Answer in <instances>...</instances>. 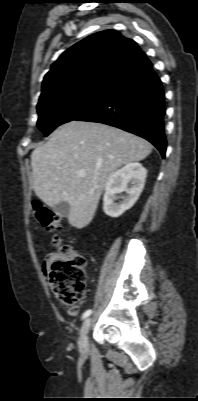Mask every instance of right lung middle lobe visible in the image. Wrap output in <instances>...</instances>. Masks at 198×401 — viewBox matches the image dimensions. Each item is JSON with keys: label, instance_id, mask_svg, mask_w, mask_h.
<instances>
[{"label": "right lung middle lobe", "instance_id": "right-lung-middle-lobe-1", "mask_svg": "<svg viewBox=\"0 0 198 401\" xmlns=\"http://www.w3.org/2000/svg\"><path fill=\"white\" fill-rule=\"evenodd\" d=\"M107 85H84L39 99L38 128L49 135L56 127L72 121L92 108L105 94Z\"/></svg>", "mask_w": 198, "mask_h": 401}]
</instances>
